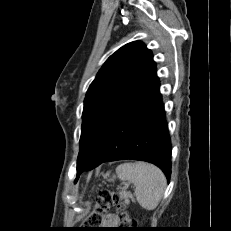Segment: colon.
<instances>
[{
	"label": "colon",
	"instance_id": "colon-1",
	"mask_svg": "<svg viewBox=\"0 0 231 231\" xmlns=\"http://www.w3.org/2000/svg\"><path fill=\"white\" fill-rule=\"evenodd\" d=\"M113 208L119 211V217L123 224H131L133 222L126 210V202L120 198L119 194L113 190L103 189L97 195L95 208L86 219V224L89 226L101 225L105 215Z\"/></svg>",
	"mask_w": 231,
	"mask_h": 231
}]
</instances>
